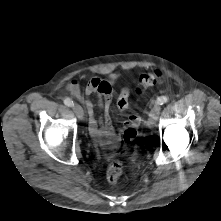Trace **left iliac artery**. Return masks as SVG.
<instances>
[{"mask_svg":"<svg viewBox=\"0 0 221 221\" xmlns=\"http://www.w3.org/2000/svg\"><path fill=\"white\" fill-rule=\"evenodd\" d=\"M166 102H168V98L166 96L158 97L157 101H156V103L159 104V105H163Z\"/></svg>","mask_w":221,"mask_h":221,"instance_id":"obj_1","label":"left iliac artery"}]
</instances>
